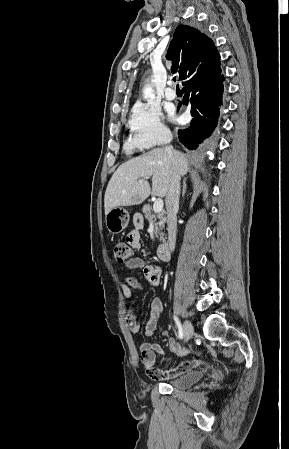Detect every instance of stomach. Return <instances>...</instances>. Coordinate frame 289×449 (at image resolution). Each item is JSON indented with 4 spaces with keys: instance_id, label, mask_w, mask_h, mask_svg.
I'll return each mask as SVG.
<instances>
[{
    "instance_id": "stomach-1",
    "label": "stomach",
    "mask_w": 289,
    "mask_h": 449,
    "mask_svg": "<svg viewBox=\"0 0 289 449\" xmlns=\"http://www.w3.org/2000/svg\"><path fill=\"white\" fill-rule=\"evenodd\" d=\"M130 215L128 211L122 207L113 208L105 216L106 227L112 234L122 232L129 223Z\"/></svg>"
}]
</instances>
